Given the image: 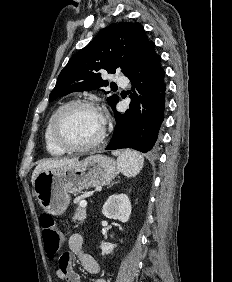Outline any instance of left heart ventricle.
Masks as SVG:
<instances>
[{
	"mask_svg": "<svg viewBox=\"0 0 232 282\" xmlns=\"http://www.w3.org/2000/svg\"><path fill=\"white\" fill-rule=\"evenodd\" d=\"M100 114L88 107L75 106L66 110L58 123V135L72 145L88 144L102 131Z\"/></svg>",
	"mask_w": 232,
	"mask_h": 282,
	"instance_id": "1",
	"label": "left heart ventricle"
}]
</instances>
